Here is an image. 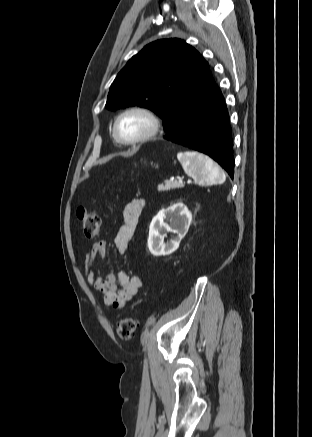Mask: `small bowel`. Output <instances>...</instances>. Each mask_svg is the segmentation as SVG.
Returning <instances> with one entry per match:
<instances>
[{
  "label": "small bowel",
  "mask_w": 312,
  "mask_h": 437,
  "mask_svg": "<svg viewBox=\"0 0 312 437\" xmlns=\"http://www.w3.org/2000/svg\"><path fill=\"white\" fill-rule=\"evenodd\" d=\"M144 200L134 198L130 200L123 210V224L120 226L114 243L121 255L127 251L130 240L138 224ZM108 245L104 240L93 244L86 253L84 261V275L87 283L101 294L104 304L114 309H122L144 287L142 278L125 271L117 275L103 273L95 268V263L105 259Z\"/></svg>",
  "instance_id": "obj_1"
}]
</instances>
